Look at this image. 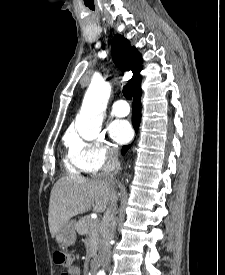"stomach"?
Here are the masks:
<instances>
[{
	"instance_id": "1",
	"label": "stomach",
	"mask_w": 225,
	"mask_h": 275,
	"mask_svg": "<svg viewBox=\"0 0 225 275\" xmlns=\"http://www.w3.org/2000/svg\"><path fill=\"white\" fill-rule=\"evenodd\" d=\"M56 241L61 246H71L75 244L76 242V231H75V225L73 222H68L65 224L55 235Z\"/></svg>"
}]
</instances>
